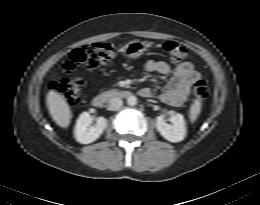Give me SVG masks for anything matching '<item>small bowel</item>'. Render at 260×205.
Returning a JSON list of instances; mask_svg holds the SVG:
<instances>
[{
	"label": "small bowel",
	"mask_w": 260,
	"mask_h": 205,
	"mask_svg": "<svg viewBox=\"0 0 260 205\" xmlns=\"http://www.w3.org/2000/svg\"><path fill=\"white\" fill-rule=\"evenodd\" d=\"M145 70L148 73L169 75L171 74L165 89L160 93V100L171 107H179L184 104L190 94L191 87L200 80V73L190 62H182L174 70L171 66L161 60H149L145 64ZM140 95L148 97L151 95L149 88H142Z\"/></svg>",
	"instance_id": "obj_1"
}]
</instances>
